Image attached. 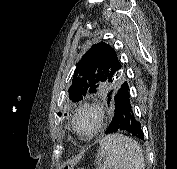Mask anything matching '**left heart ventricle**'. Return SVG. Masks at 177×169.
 Segmentation results:
<instances>
[{
    "instance_id": "obj_1",
    "label": "left heart ventricle",
    "mask_w": 177,
    "mask_h": 169,
    "mask_svg": "<svg viewBox=\"0 0 177 169\" xmlns=\"http://www.w3.org/2000/svg\"><path fill=\"white\" fill-rule=\"evenodd\" d=\"M95 125L94 117L89 112L82 113L78 118V127L84 132L89 133Z\"/></svg>"
}]
</instances>
